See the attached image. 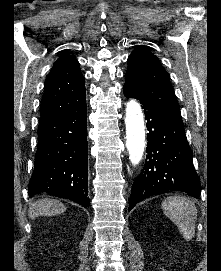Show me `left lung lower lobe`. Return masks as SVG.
Segmentation results:
<instances>
[{
  "label": "left lung lower lobe",
  "mask_w": 221,
  "mask_h": 271,
  "mask_svg": "<svg viewBox=\"0 0 221 271\" xmlns=\"http://www.w3.org/2000/svg\"><path fill=\"white\" fill-rule=\"evenodd\" d=\"M123 91L126 97L136 98L142 104L149 131L148 155L133 183L129 211L145 198L171 191L199 198L200 180L193 166L183 122L166 115L125 85Z\"/></svg>",
  "instance_id": "1"
}]
</instances>
